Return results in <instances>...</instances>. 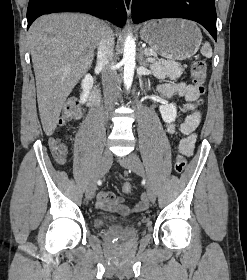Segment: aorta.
I'll return each instance as SVG.
<instances>
[{"label":"aorta","instance_id":"aorta-1","mask_svg":"<svg viewBox=\"0 0 247 280\" xmlns=\"http://www.w3.org/2000/svg\"><path fill=\"white\" fill-rule=\"evenodd\" d=\"M136 45L132 35H128L124 43L123 64H124V85L129 89L133 82L135 69Z\"/></svg>","mask_w":247,"mask_h":280}]
</instances>
